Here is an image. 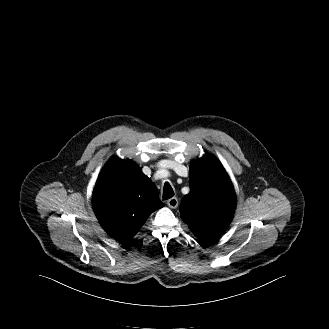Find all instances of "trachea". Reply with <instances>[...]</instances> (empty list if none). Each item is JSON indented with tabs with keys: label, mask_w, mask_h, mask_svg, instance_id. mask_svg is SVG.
<instances>
[{
	"label": "trachea",
	"mask_w": 329,
	"mask_h": 329,
	"mask_svg": "<svg viewBox=\"0 0 329 329\" xmlns=\"http://www.w3.org/2000/svg\"><path fill=\"white\" fill-rule=\"evenodd\" d=\"M174 196V191L171 187V185L168 182H165L163 187V199L167 200Z\"/></svg>",
	"instance_id": "1"
}]
</instances>
